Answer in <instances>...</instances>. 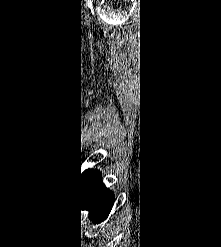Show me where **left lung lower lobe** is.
Instances as JSON below:
<instances>
[{
  "mask_svg": "<svg viewBox=\"0 0 221 247\" xmlns=\"http://www.w3.org/2000/svg\"><path fill=\"white\" fill-rule=\"evenodd\" d=\"M70 199L80 212L93 223L107 219L114 202V196L103 183L102 173L97 167L85 164L76 169L69 189Z\"/></svg>",
  "mask_w": 221,
  "mask_h": 247,
  "instance_id": "1",
  "label": "left lung lower lobe"
}]
</instances>
